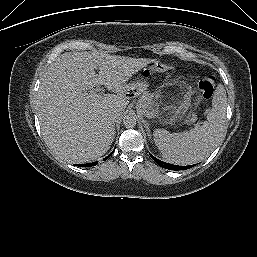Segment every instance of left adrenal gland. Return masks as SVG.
<instances>
[{
  "label": "left adrenal gland",
  "mask_w": 257,
  "mask_h": 257,
  "mask_svg": "<svg viewBox=\"0 0 257 257\" xmlns=\"http://www.w3.org/2000/svg\"><path fill=\"white\" fill-rule=\"evenodd\" d=\"M144 124H145V127H146L147 131H148V136L151 137V135H150V130H149V123L145 120V121H144Z\"/></svg>",
  "instance_id": "left-adrenal-gland-1"
}]
</instances>
